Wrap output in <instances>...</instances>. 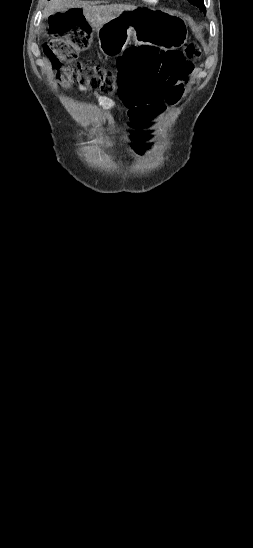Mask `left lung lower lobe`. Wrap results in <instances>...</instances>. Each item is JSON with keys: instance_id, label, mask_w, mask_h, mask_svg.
<instances>
[{"instance_id": "0a47b994", "label": "left lung lower lobe", "mask_w": 253, "mask_h": 548, "mask_svg": "<svg viewBox=\"0 0 253 548\" xmlns=\"http://www.w3.org/2000/svg\"><path fill=\"white\" fill-rule=\"evenodd\" d=\"M197 7H199V6H197ZM199 8H200L201 10H204V11H205V7H199Z\"/></svg>"}]
</instances>
